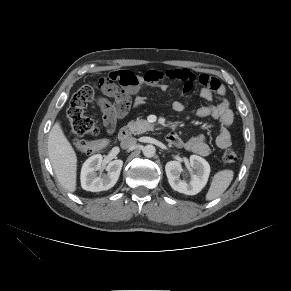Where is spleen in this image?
I'll return each instance as SVG.
<instances>
[{"label": "spleen", "instance_id": "obj_1", "mask_svg": "<svg viewBox=\"0 0 291 291\" xmlns=\"http://www.w3.org/2000/svg\"><path fill=\"white\" fill-rule=\"evenodd\" d=\"M234 172L232 170H221L217 172L211 182L210 188L206 194V200L210 201L221 196L229 187L233 180Z\"/></svg>", "mask_w": 291, "mask_h": 291}]
</instances>
